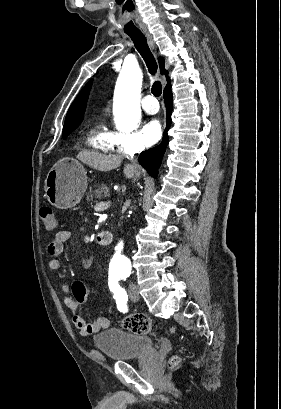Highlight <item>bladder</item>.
<instances>
[{
    "label": "bladder",
    "mask_w": 281,
    "mask_h": 409,
    "mask_svg": "<svg viewBox=\"0 0 281 409\" xmlns=\"http://www.w3.org/2000/svg\"><path fill=\"white\" fill-rule=\"evenodd\" d=\"M94 348L108 360L129 362L137 355H156L153 339L120 327H109L93 336Z\"/></svg>",
    "instance_id": "31cf9c89"
}]
</instances>
